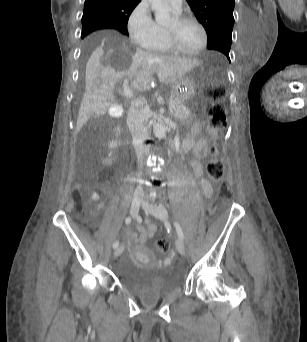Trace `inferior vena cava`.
Returning a JSON list of instances; mask_svg holds the SVG:
<instances>
[{"label":"inferior vena cava","instance_id":"obj_1","mask_svg":"<svg viewBox=\"0 0 307 342\" xmlns=\"http://www.w3.org/2000/svg\"><path fill=\"white\" fill-rule=\"evenodd\" d=\"M145 98H137L134 102H131L127 116V126L132 134L133 146L136 152L138 160V168H141L144 160V156L149 154L148 146H145L144 142L148 138L147 130L145 128V112L143 106H145ZM138 176H141L139 172ZM139 184L135 190V194H143V180H138Z\"/></svg>","mask_w":307,"mask_h":342}]
</instances>
